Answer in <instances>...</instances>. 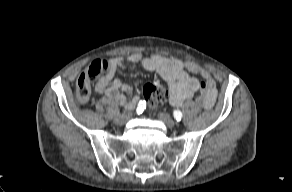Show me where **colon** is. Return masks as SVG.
Wrapping results in <instances>:
<instances>
[{
    "mask_svg": "<svg viewBox=\"0 0 292 192\" xmlns=\"http://www.w3.org/2000/svg\"><path fill=\"white\" fill-rule=\"evenodd\" d=\"M107 60L93 61L79 76L76 83V97L80 103H85L90 97L92 81L109 70ZM143 96L150 107H157L168 99V91L152 84H146L143 88Z\"/></svg>",
    "mask_w": 292,
    "mask_h": 192,
    "instance_id": "obj_1",
    "label": "colon"
}]
</instances>
